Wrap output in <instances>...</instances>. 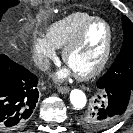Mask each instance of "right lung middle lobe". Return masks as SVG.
<instances>
[{
  "label": "right lung middle lobe",
  "instance_id": "obj_1",
  "mask_svg": "<svg viewBox=\"0 0 133 133\" xmlns=\"http://www.w3.org/2000/svg\"><path fill=\"white\" fill-rule=\"evenodd\" d=\"M19 1L15 0H0V20L3 13L10 7L17 5Z\"/></svg>",
  "mask_w": 133,
  "mask_h": 133
}]
</instances>
